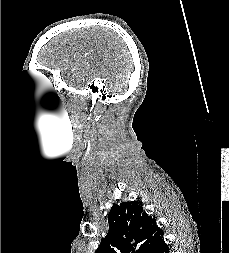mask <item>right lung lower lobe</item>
<instances>
[{
  "label": "right lung lower lobe",
  "instance_id": "obj_1",
  "mask_svg": "<svg viewBox=\"0 0 229 253\" xmlns=\"http://www.w3.org/2000/svg\"><path fill=\"white\" fill-rule=\"evenodd\" d=\"M151 253H169V248L164 239L151 251Z\"/></svg>",
  "mask_w": 229,
  "mask_h": 253
}]
</instances>
